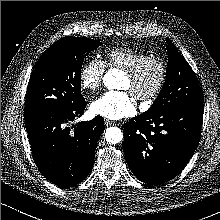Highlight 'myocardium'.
I'll use <instances>...</instances> for the list:
<instances>
[{
	"label": "myocardium",
	"mask_w": 220,
	"mask_h": 220,
	"mask_svg": "<svg viewBox=\"0 0 220 220\" xmlns=\"http://www.w3.org/2000/svg\"><path fill=\"white\" fill-rule=\"evenodd\" d=\"M152 65L156 66L159 71L157 82L149 91L141 90L136 94V97L140 101L145 103H152L162 92L167 80L166 63L159 57L149 56L141 62L137 63L131 69L126 70V75L130 79L138 80L143 75V73Z\"/></svg>",
	"instance_id": "1"
}]
</instances>
